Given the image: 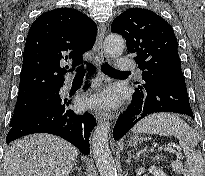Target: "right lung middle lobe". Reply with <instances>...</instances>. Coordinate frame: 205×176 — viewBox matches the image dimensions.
<instances>
[{
	"instance_id": "right-lung-middle-lobe-1",
	"label": "right lung middle lobe",
	"mask_w": 205,
	"mask_h": 176,
	"mask_svg": "<svg viewBox=\"0 0 205 176\" xmlns=\"http://www.w3.org/2000/svg\"><path fill=\"white\" fill-rule=\"evenodd\" d=\"M59 89L60 88L47 89L29 96L17 98L15 111L10 121V127L19 123L36 107L56 95Z\"/></svg>"
}]
</instances>
